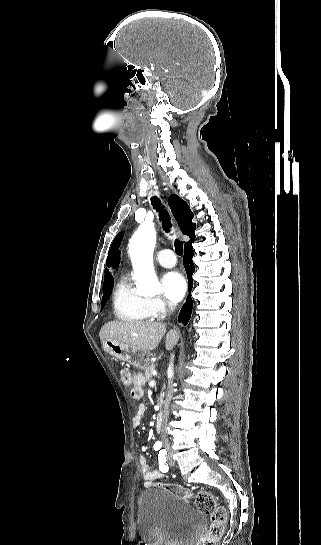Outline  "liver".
I'll list each match as a JSON object with an SVG mask.
<instances>
[{
	"mask_svg": "<svg viewBox=\"0 0 321 545\" xmlns=\"http://www.w3.org/2000/svg\"><path fill=\"white\" fill-rule=\"evenodd\" d=\"M166 333V327L163 323H142V321H110L103 325L99 337L104 339H114L119 343H125L130 347H135L139 351H153L159 345L162 337ZM177 331H169L166 335V349L171 351L178 341Z\"/></svg>",
	"mask_w": 321,
	"mask_h": 545,
	"instance_id": "liver-1",
	"label": "liver"
}]
</instances>
